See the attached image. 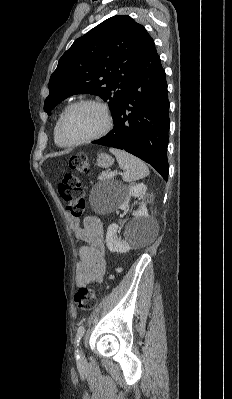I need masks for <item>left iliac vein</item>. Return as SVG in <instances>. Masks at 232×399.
<instances>
[{"instance_id":"4c4485c4","label":"left iliac vein","mask_w":232,"mask_h":399,"mask_svg":"<svg viewBox=\"0 0 232 399\" xmlns=\"http://www.w3.org/2000/svg\"><path fill=\"white\" fill-rule=\"evenodd\" d=\"M77 352H78V355H79V356H82V355H83V350H82L81 348H78V349H77Z\"/></svg>"}]
</instances>
